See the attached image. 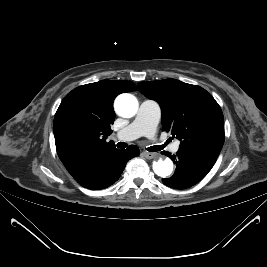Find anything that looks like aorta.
<instances>
[{"label": "aorta", "instance_id": "1", "mask_svg": "<svg viewBox=\"0 0 267 267\" xmlns=\"http://www.w3.org/2000/svg\"><path fill=\"white\" fill-rule=\"evenodd\" d=\"M138 101L135 96L129 93L119 95L114 103L116 113L124 118L133 117L138 110ZM156 175L166 178L173 172V162L169 158L159 159L152 164Z\"/></svg>", "mask_w": 267, "mask_h": 267}]
</instances>
